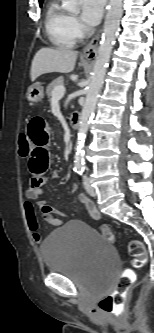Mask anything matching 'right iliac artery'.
I'll return each instance as SVG.
<instances>
[{
  "label": "right iliac artery",
  "instance_id": "obj_1",
  "mask_svg": "<svg viewBox=\"0 0 154 333\" xmlns=\"http://www.w3.org/2000/svg\"><path fill=\"white\" fill-rule=\"evenodd\" d=\"M74 171H75L76 173H78V174H79L80 172H82V171H83V169H80V168H75V169H74Z\"/></svg>",
  "mask_w": 154,
  "mask_h": 333
}]
</instances>
